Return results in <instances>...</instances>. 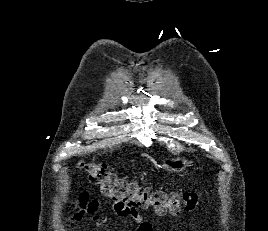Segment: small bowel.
Returning <instances> with one entry per match:
<instances>
[{
    "mask_svg": "<svg viewBox=\"0 0 268 231\" xmlns=\"http://www.w3.org/2000/svg\"><path fill=\"white\" fill-rule=\"evenodd\" d=\"M98 207L99 201L84 193L79 197L78 208L71 212L68 221L75 223L88 218L94 222H102L103 218L98 214ZM114 209L120 216L132 217L137 223L138 231H152V224L145 220L135 208H123L115 204Z\"/></svg>",
    "mask_w": 268,
    "mask_h": 231,
    "instance_id": "obj_1",
    "label": "small bowel"
}]
</instances>
